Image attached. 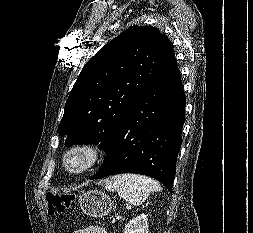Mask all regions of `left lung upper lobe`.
I'll use <instances>...</instances> for the list:
<instances>
[{
    "label": "left lung upper lobe",
    "instance_id": "left-lung-upper-lobe-1",
    "mask_svg": "<svg viewBox=\"0 0 253 233\" xmlns=\"http://www.w3.org/2000/svg\"><path fill=\"white\" fill-rule=\"evenodd\" d=\"M174 58L173 45L152 26H131L83 67L65 104L58 133L66 146L108 150L138 100Z\"/></svg>",
    "mask_w": 253,
    "mask_h": 233
}]
</instances>
